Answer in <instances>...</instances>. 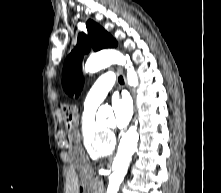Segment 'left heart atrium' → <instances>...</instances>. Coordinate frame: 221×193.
Instances as JSON below:
<instances>
[{
    "instance_id": "39dd6f15",
    "label": "left heart atrium",
    "mask_w": 221,
    "mask_h": 193,
    "mask_svg": "<svg viewBox=\"0 0 221 193\" xmlns=\"http://www.w3.org/2000/svg\"><path fill=\"white\" fill-rule=\"evenodd\" d=\"M112 109L114 113V124L118 128L125 127L132 116L133 106L128 96H115L112 99Z\"/></svg>"
}]
</instances>
